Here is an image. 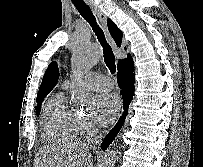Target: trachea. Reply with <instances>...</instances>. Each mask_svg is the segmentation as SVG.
I'll return each instance as SVG.
<instances>
[{"label":"trachea","instance_id":"trachea-1","mask_svg":"<svg viewBox=\"0 0 203 167\" xmlns=\"http://www.w3.org/2000/svg\"><path fill=\"white\" fill-rule=\"evenodd\" d=\"M76 9L81 14V16L90 24L92 27L98 41L103 48V56L106 66L109 68L110 72L114 74L116 72L115 56L112 51L111 46L106 41L103 30L97 24L96 18L93 15L91 9L85 3H74Z\"/></svg>","mask_w":203,"mask_h":167}]
</instances>
